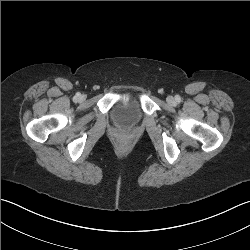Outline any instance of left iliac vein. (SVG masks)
Masks as SVG:
<instances>
[{"label":"left iliac vein","instance_id":"left-iliac-vein-1","mask_svg":"<svg viewBox=\"0 0 250 250\" xmlns=\"http://www.w3.org/2000/svg\"><path fill=\"white\" fill-rule=\"evenodd\" d=\"M167 102L171 105H174L176 103L175 99L172 96L167 97Z\"/></svg>","mask_w":250,"mask_h":250}]
</instances>
